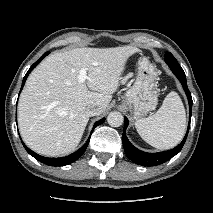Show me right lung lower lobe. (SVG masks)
<instances>
[{"label":"right lung lower lobe","instance_id":"obj_1","mask_svg":"<svg viewBox=\"0 0 213 213\" xmlns=\"http://www.w3.org/2000/svg\"><path fill=\"white\" fill-rule=\"evenodd\" d=\"M49 54V52H46L42 55L41 58H39L31 67L30 69L28 70V72L26 73V75L24 76V79H23V82H22V86H21V89L23 88L24 86V83L26 81V78L27 76L29 75V73L33 70V68L36 67L37 64H39L41 62V60L43 58H45L47 55ZM105 118H102L101 120L97 121L94 126H93V129L91 131V134L93 132V130L95 129V127H97L98 125L102 124L104 122ZM89 141H90V137L88 138V140L86 141V143L79 149L77 150L76 152H74L73 154L71 155H68L66 157H61V158H47V157H43V156H40L38 155L37 153L33 152L32 150H30L23 142V146L24 148L27 150V152L32 155L35 159H37L38 161L46 164V165H49V166H65V165H68L70 163H73L74 161H76L83 153L84 151L86 150L88 144H89Z\"/></svg>","mask_w":213,"mask_h":213}]
</instances>
